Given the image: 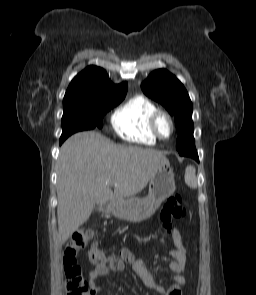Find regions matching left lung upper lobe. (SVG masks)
Instances as JSON below:
<instances>
[{"label": "left lung upper lobe", "instance_id": "left-lung-upper-lobe-1", "mask_svg": "<svg viewBox=\"0 0 256 295\" xmlns=\"http://www.w3.org/2000/svg\"><path fill=\"white\" fill-rule=\"evenodd\" d=\"M144 93L160 102L175 117L178 140L176 149L180 155L195 149L193 137L192 102L183 84L170 72L160 69L152 72L143 82Z\"/></svg>", "mask_w": 256, "mask_h": 295}]
</instances>
